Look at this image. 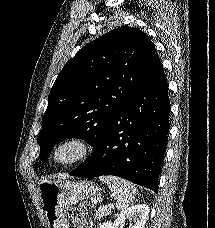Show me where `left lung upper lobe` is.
<instances>
[{
    "instance_id": "1",
    "label": "left lung upper lobe",
    "mask_w": 215,
    "mask_h": 228,
    "mask_svg": "<svg viewBox=\"0 0 215 228\" xmlns=\"http://www.w3.org/2000/svg\"><path fill=\"white\" fill-rule=\"evenodd\" d=\"M138 28L121 26L86 44L63 67L49 93L37 138L40 159L67 138L95 147L157 54Z\"/></svg>"
}]
</instances>
